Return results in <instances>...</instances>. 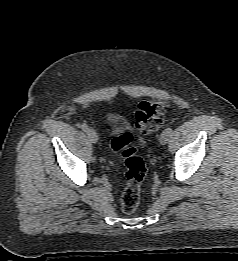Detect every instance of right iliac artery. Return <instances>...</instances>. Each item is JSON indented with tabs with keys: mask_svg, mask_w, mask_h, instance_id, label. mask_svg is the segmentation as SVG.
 Instances as JSON below:
<instances>
[{
	"mask_svg": "<svg viewBox=\"0 0 238 261\" xmlns=\"http://www.w3.org/2000/svg\"><path fill=\"white\" fill-rule=\"evenodd\" d=\"M81 128H82V130H83L84 132H87V131L89 130V128H88V126H87L86 124H83V125L81 126Z\"/></svg>",
	"mask_w": 238,
	"mask_h": 261,
	"instance_id": "obj_1",
	"label": "right iliac artery"
}]
</instances>
